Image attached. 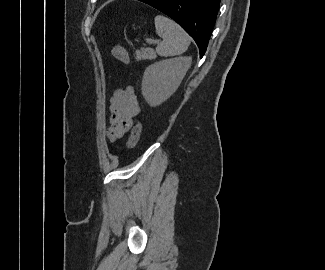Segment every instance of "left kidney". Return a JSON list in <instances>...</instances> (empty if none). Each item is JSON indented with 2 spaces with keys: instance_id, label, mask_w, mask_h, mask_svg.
Instances as JSON below:
<instances>
[{
  "instance_id": "1",
  "label": "left kidney",
  "mask_w": 325,
  "mask_h": 270,
  "mask_svg": "<svg viewBox=\"0 0 325 270\" xmlns=\"http://www.w3.org/2000/svg\"><path fill=\"white\" fill-rule=\"evenodd\" d=\"M192 62L178 57L155 62L147 67L142 80V95L150 106L166 101L179 87Z\"/></svg>"
}]
</instances>
